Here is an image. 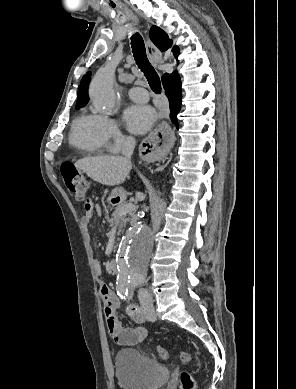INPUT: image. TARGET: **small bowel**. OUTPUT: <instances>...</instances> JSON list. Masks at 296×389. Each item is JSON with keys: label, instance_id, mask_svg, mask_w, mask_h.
I'll return each mask as SVG.
<instances>
[{"label": "small bowel", "instance_id": "small-bowel-1", "mask_svg": "<svg viewBox=\"0 0 296 389\" xmlns=\"http://www.w3.org/2000/svg\"><path fill=\"white\" fill-rule=\"evenodd\" d=\"M94 215H101V208L95 205L91 200L84 204V214L82 224L87 228ZM101 298L104 304V314L107 323V329L112 340L118 345L133 346L141 343L147 336L145 328L124 327L117 318V312L120 305L119 299L114 291L106 284L101 286Z\"/></svg>", "mask_w": 296, "mask_h": 389}]
</instances>
